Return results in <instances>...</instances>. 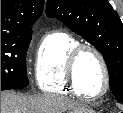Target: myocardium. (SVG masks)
<instances>
[{
	"mask_svg": "<svg viewBox=\"0 0 123 113\" xmlns=\"http://www.w3.org/2000/svg\"><path fill=\"white\" fill-rule=\"evenodd\" d=\"M85 52L93 53L99 60L101 67H102L104 85H103L102 90L96 94H88V93L82 92L80 90L79 83L77 80V73H76L77 63H78L80 57ZM66 70H67V75H68L70 84L72 85L74 90L77 93H79L81 96H83L85 98H90V99H97V98L104 96L107 93V91L109 89V84H110V75H109L108 64H107L106 59H105L104 55L102 54V52L95 46L90 45V44H79L77 47H75L67 60Z\"/></svg>",
	"mask_w": 123,
	"mask_h": 113,
	"instance_id": "1",
	"label": "myocardium"
}]
</instances>
